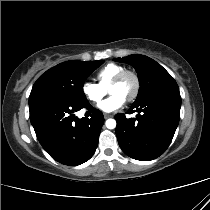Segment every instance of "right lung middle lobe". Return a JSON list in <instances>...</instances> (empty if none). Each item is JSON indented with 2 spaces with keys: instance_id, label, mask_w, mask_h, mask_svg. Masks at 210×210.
I'll return each mask as SVG.
<instances>
[{
  "instance_id": "1",
  "label": "right lung middle lobe",
  "mask_w": 210,
  "mask_h": 210,
  "mask_svg": "<svg viewBox=\"0 0 210 210\" xmlns=\"http://www.w3.org/2000/svg\"><path fill=\"white\" fill-rule=\"evenodd\" d=\"M102 63L103 60H71L49 69L33 85L29 104L51 98L76 102L87 101L83 92L84 81Z\"/></svg>"
}]
</instances>
